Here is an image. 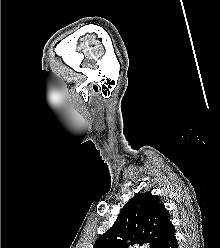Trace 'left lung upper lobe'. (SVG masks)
<instances>
[{"instance_id":"left-lung-upper-lobe-1","label":"left lung upper lobe","mask_w":220,"mask_h":248,"mask_svg":"<svg viewBox=\"0 0 220 248\" xmlns=\"http://www.w3.org/2000/svg\"><path fill=\"white\" fill-rule=\"evenodd\" d=\"M171 226L168 212L157 196L138 192L93 248H128L135 243L158 248Z\"/></svg>"}]
</instances>
